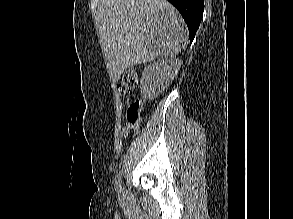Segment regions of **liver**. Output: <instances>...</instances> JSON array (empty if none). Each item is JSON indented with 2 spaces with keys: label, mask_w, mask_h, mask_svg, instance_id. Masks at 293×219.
<instances>
[{
  "label": "liver",
  "mask_w": 293,
  "mask_h": 219,
  "mask_svg": "<svg viewBox=\"0 0 293 219\" xmlns=\"http://www.w3.org/2000/svg\"><path fill=\"white\" fill-rule=\"evenodd\" d=\"M111 77L158 57H175L187 27L167 0H98L95 16Z\"/></svg>",
  "instance_id": "1"
}]
</instances>
